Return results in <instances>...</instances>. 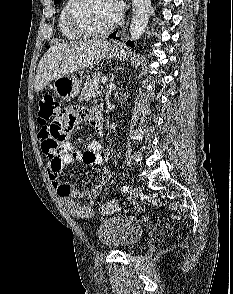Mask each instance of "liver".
Listing matches in <instances>:
<instances>
[{"mask_svg":"<svg viewBox=\"0 0 233 294\" xmlns=\"http://www.w3.org/2000/svg\"><path fill=\"white\" fill-rule=\"evenodd\" d=\"M111 43L105 40L71 41L51 46L39 62L34 80L36 92L52 80L101 61Z\"/></svg>","mask_w":233,"mask_h":294,"instance_id":"1","label":"liver"}]
</instances>
